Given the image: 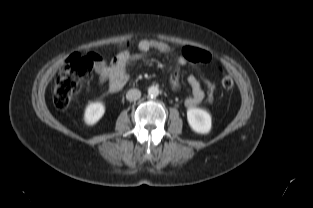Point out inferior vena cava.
I'll use <instances>...</instances> for the list:
<instances>
[{
  "mask_svg": "<svg viewBox=\"0 0 313 208\" xmlns=\"http://www.w3.org/2000/svg\"><path fill=\"white\" fill-rule=\"evenodd\" d=\"M141 97V92L138 89H131L126 94V99L129 101H136Z\"/></svg>",
  "mask_w": 313,
  "mask_h": 208,
  "instance_id": "inferior-vena-cava-1",
  "label": "inferior vena cava"
}]
</instances>
